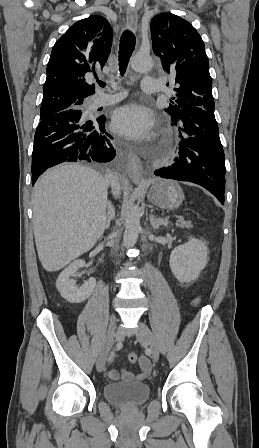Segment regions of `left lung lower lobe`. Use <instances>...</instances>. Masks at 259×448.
Instances as JSON below:
<instances>
[{
  "mask_svg": "<svg viewBox=\"0 0 259 448\" xmlns=\"http://www.w3.org/2000/svg\"><path fill=\"white\" fill-rule=\"evenodd\" d=\"M172 120L173 124L180 125L185 136L180 132L182 140L175 163L156 170L154 174L201 185L223 204L225 158L214 111L191 107Z\"/></svg>",
  "mask_w": 259,
  "mask_h": 448,
  "instance_id": "obj_1",
  "label": "left lung lower lobe"
}]
</instances>
